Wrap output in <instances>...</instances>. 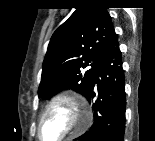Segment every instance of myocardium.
Returning a JSON list of instances; mask_svg holds the SVG:
<instances>
[{
  "label": "myocardium",
  "instance_id": "obj_1",
  "mask_svg": "<svg viewBox=\"0 0 155 141\" xmlns=\"http://www.w3.org/2000/svg\"><path fill=\"white\" fill-rule=\"evenodd\" d=\"M58 105H66L68 107L71 127L55 141L66 140L67 138L82 131L90 123L91 113L87 105L81 99L66 93L54 95L45 103L38 116L37 136L40 140H44L41 134V126L45 116Z\"/></svg>",
  "mask_w": 155,
  "mask_h": 141
}]
</instances>
